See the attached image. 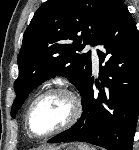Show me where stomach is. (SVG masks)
I'll use <instances>...</instances> for the list:
<instances>
[{"label": "stomach", "instance_id": "1", "mask_svg": "<svg viewBox=\"0 0 139 150\" xmlns=\"http://www.w3.org/2000/svg\"><path fill=\"white\" fill-rule=\"evenodd\" d=\"M46 150H91V149L84 144L68 143L58 147L48 148Z\"/></svg>", "mask_w": 139, "mask_h": 150}]
</instances>
